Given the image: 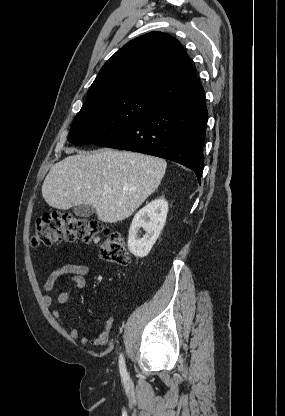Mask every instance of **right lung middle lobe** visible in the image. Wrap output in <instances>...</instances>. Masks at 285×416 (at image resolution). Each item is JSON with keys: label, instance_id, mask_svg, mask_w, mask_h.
Masks as SVG:
<instances>
[{"label": "right lung middle lobe", "instance_id": "right-lung-middle-lobe-1", "mask_svg": "<svg viewBox=\"0 0 285 416\" xmlns=\"http://www.w3.org/2000/svg\"><path fill=\"white\" fill-rule=\"evenodd\" d=\"M160 105L138 96L81 108L74 118L68 141L85 145L105 139L140 120Z\"/></svg>", "mask_w": 285, "mask_h": 416}]
</instances>
